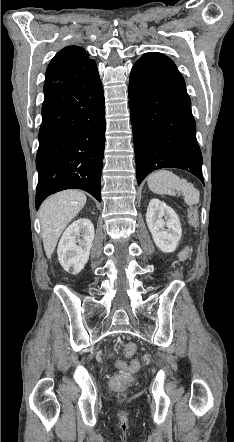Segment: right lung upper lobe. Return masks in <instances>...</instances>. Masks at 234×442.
<instances>
[{
    "label": "right lung upper lobe",
    "mask_w": 234,
    "mask_h": 442,
    "mask_svg": "<svg viewBox=\"0 0 234 442\" xmlns=\"http://www.w3.org/2000/svg\"><path fill=\"white\" fill-rule=\"evenodd\" d=\"M95 61L90 59L82 47L67 46L51 60L46 71L47 82H66L90 68Z\"/></svg>",
    "instance_id": "obj_1"
}]
</instances>
